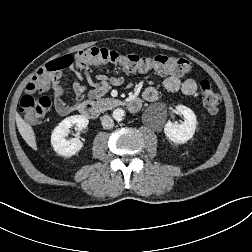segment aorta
<instances>
[{
    "label": "aorta",
    "mask_w": 252,
    "mask_h": 252,
    "mask_svg": "<svg viewBox=\"0 0 252 252\" xmlns=\"http://www.w3.org/2000/svg\"><path fill=\"white\" fill-rule=\"evenodd\" d=\"M113 118L117 121H121L125 116V111L121 108H117L113 111Z\"/></svg>",
    "instance_id": "1"
}]
</instances>
